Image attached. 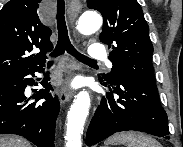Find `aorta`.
I'll use <instances>...</instances> for the list:
<instances>
[{"label": "aorta", "mask_w": 183, "mask_h": 147, "mask_svg": "<svg viewBox=\"0 0 183 147\" xmlns=\"http://www.w3.org/2000/svg\"><path fill=\"white\" fill-rule=\"evenodd\" d=\"M102 26V17L92 11L84 12L78 19L77 29L85 35L92 34ZM91 100L87 91H80L67 115L66 147H82L81 135L86 122Z\"/></svg>", "instance_id": "762f6f07"}]
</instances>
